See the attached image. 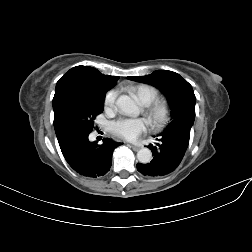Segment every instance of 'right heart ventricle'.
I'll return each mask as SVG.
<instances>
[{"mask_svg":"<svg viewBox=\"0 0 252 252\" xmlns=\"http://www.w3.org/2000/svg\"><path fill=\"white\" fill-rule=\"evenodd\" d=\"M130 94L142 105L147 106L159 95V90L149 84H138L129 88Z\"/></svg>","mask_w":252,"mask_h":252,"instance_id":"obj_1","label":"right heart ventricle"}]
</instances>
